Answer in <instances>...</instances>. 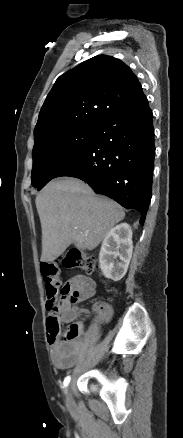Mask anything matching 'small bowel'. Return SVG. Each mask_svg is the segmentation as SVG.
Returning <instances> with one entry per match:
<instances>
[{"label":"small bowel","instance_id":"obj_1","mask_svg":"<svg viewBox=\"0 0 183 438\" xmlns=\"http://www.w3.org/2000/svg\"><path fill=\"white\" fill-rule=\"evenodd\" d=\"M66 286L70 287L71 291L77 296L76 302L84 301L95 294V281L85 275H76L69 279ZM93 311L97 313L100 319L104 322L108 321L112 316V308L105 302L96 303ZM89 316V311L84 308L72 306L70 300H65L60 310V320L63 323L74 322L77 318L86 319ZM80 326L82 330V322H74ZM48 342L51 347L52 361L59 369H67L74 365L78 359L81 349V339L65 341L59 336H53L48 333Z\"/></svg>","mask_w":183,"mask_h":438}]
</instances>
